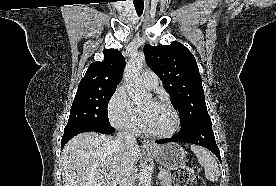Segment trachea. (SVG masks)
I'll list each match as a JSON object with an SVG mask.
<instances>
[{"label": "trachea", "instance_id": "3493384b", "mask_svg": "<svg viewBox=\"0 0 276 186\" xmlns=\"http://www.w3.org/2000/svg\"><path fill=\"white\" fill-rule=\"evenodd\" d=\"M134 7L138 16H141L144 9V2H134Z\"/></svg>", "mask_w": 276, "mask_h": 186}]
</instances>
